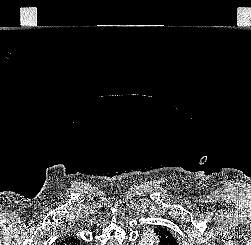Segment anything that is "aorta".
Returning a JSON list of instances; mask_svg holds the SVG:
<instances>
[{"label":"aorta","mask_w":251,"mask_h":245,"mask_svg":"<svg viewBox=\"0 0 251 245\" xmlns=\"http://www.w3.org/2000/svg\"><path fill=\"white\" fill-rule=\"evenodd\" d=\"M156 242V235L153 229H147L140 238L139 245H154Z\"/></svg>","instance_id":"obj_1"}]
</instances>
